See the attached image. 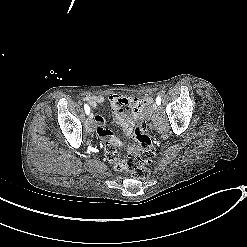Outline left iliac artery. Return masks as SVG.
<instances>
[{
	"mask_svg": "<svg viewBox=\"0 0 247 247\" xmlns=\"http://www.w3.org/2000/svg\"><path fill=\"white\" fill-rule=\"evenodd\" d=\"M156 103H157L158 105L161 104V97H160V96H158V97L156 98Z\"/></svg>",
	"mask_w": 247,
	"mask_h": 247,
	"instance_id": "44dca946",
	"label": "left iliac artery"
}]
</instances>
